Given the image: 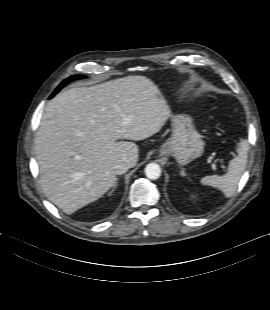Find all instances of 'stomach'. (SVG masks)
<instances>
[{
  "instance_id": "obj_1",
  "label": "stomach",
  "mask_w": 270,
  "mask_h": 310,
  "mask_svg": "<svg viewBox=\"0 0 270 310\" xmlns=\"http://www.w3.org/2000/svg\"><path fill=\"white\" fill-rule=\"evenodd\" d=\"M171 121L172 134L161 146L160 155L172 156L178 164L186 165L203 154L204 142L189 115H175Z\"/></svg>"
}]
</instances>
